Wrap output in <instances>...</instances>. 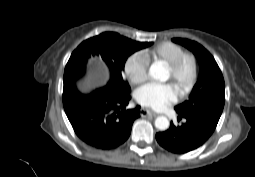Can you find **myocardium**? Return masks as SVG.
Listing matches in <instances>:
<instances>
[{"instance_id":"1","label":"myocardium","mask_w":255,"mask_h":177,"mask_svg":"<svg viewBox=\"0 0 255 177\" xmlns=\"http://www.w3.org/2000/svg\"><path fill=\"white\" fill-rule=\"evenodd\" d=\"M185 65H189V72L182 78L181 73ZM166 66L171 72V79L180 90L186 91L193 85L197 75V61L192 53L184 52Z\"/></svg>"}]
</instances>
